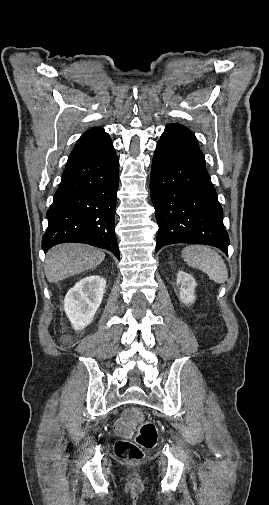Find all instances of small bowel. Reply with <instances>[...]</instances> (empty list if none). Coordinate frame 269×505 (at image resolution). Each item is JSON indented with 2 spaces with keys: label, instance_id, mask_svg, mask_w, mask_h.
<instances>
[{
  "label": "small bowel",
  "instance_id": "c3829d8e",
  "mask_svg": "<svg viewBox=\"0 0 269 505\" xmlns=\"http://www.w3.org/2000/svg\"><path fill=\"white\" fill-rule=\"evenodd\" d=\"M131 411L127 410L115 423V430L121 436H131L134 431L135 424L130 419Z\"/></svg>",
  "mask_w": 269,
  "mask_h": 505
}]
</instances>
